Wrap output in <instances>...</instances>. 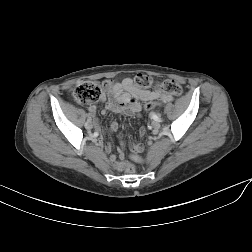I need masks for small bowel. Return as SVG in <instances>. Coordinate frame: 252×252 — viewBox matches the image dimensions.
Returning a JSON list of instances; mask_svg holds the SVG:
<instances>
[{
    "instance_id": "small-bowel-1",
    "label": "small bowel",
    "mask_w": 252,
    "mask_h": 252,
    "mask_svg": "<svg viewBox=\"0 0 252 252\" xmlns=\"http://www.w3.org/2000/svg\"><path fill=\"white\" fill-rule=\"evenodd\" d=\"M105 94L102 100L105 101V107L102 110V114L107 111H116L126 115H133L141 112V101L148 103H155L159 100L163 103H168L174 100L172 95L165 94L160 91L143 90L139 89L131 78H125L122 81L116 82L111 79H107L103 82ZM89 114L93 119L94 126L97 130H100V121L97 117V110L94 105L89 106ZM118 123L116 121L111 122L110 129L116 131L118 129ZM145 129L141 128L139 131L140 136L145 134ZM137 152L142 150L141 145L134 147ZM112 145L108 143L105 146V151L110 153ZM111 162L117 171H122L125 167L124 153L119 151L118 157L111 156Z\"/></svg>"
}]
</instances>
